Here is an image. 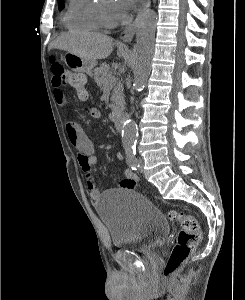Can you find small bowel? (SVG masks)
Returning <instances> with one entry per match:
<instances>
[{
    "label": "small bowel",
    "instance_id": "1",
    "mask_svg": "<svg viewBox=\"0 0 245 300\" xmlns=\"http://www.w3.org/2000/svg\"><path fill=\"white\" fill-rule=\"evenodd\" d=\"M62 83L59 78L53 76L52 86L53 93L56 103L63 107L66 105L67 100L65 94L62 90ZM83 113L89 118L98 120L101 118L100 111L90 105H86L83 108ZM66 133L70 143L77 150V162L81 169L83 178L86 182L87 188L89 190L90 196L97 199L101 195V191L98 187L97 177H96V164L97 157L95 155L94 144L91 139L86 135L82 127L75 121L69 120L66 123ZM115 159L121 161L123 156L121 153L115 154ZM138 180V176L131 170H126L124 172V177L118 183V186L122 189H134Z\"/></svg>",
    "mask_w": 245,
    "mask_h": 300
}]
</instances>
